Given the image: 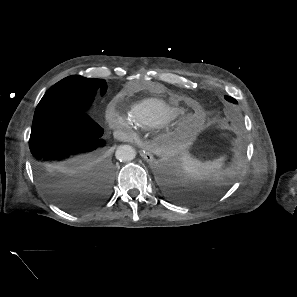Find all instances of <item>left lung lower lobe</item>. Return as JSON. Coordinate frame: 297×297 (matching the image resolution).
I'll return each instance as SVG.
<instances>
[{"label":"left lung lower lobe","mask_w":297,"mask_h":297,"mask_svg":"<svg viewBox=\"0 0 297 297\" xmlns=\"http://www.w3.org/2000/svg\"><path fill=\"white\" fill-rule=\"evenodd\" d=\"M163 175L166 179V182L171 190H173L178 195H181L183 192L180 190L182 187L180 186V178L174 169L165 168L163 171ZM223 191L222 187L215 186L212 189L206 190L204 192H201L203 195L211 197V196H217Z\"/></svg>","instance_id":"1"}]
</instances>
